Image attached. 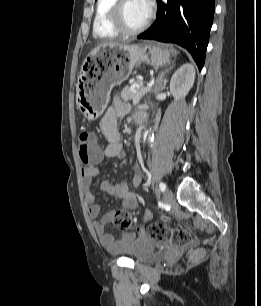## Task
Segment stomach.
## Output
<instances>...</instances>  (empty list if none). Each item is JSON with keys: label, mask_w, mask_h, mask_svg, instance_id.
<instances>
[{"label": "stomach", "mask_w": 261, "mask_h": 306, "mask_svg": "<svg viewBox=\"0 0 261 306\" xmlns=\"http://www.w3.org/2000/svg\"><path fill=\"white\" fill-rule=\"evenodd\" d=\"M169 61L167 48L148 41L93 49L83 63L77 84L80 111L88 119L98 118L108 105L113 87L127 80L136 65L159 67Z\"/></svg>", "instance_id": "0dacf381"}]
</instances>
